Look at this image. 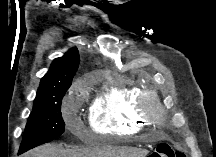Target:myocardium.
I'll list each match as a JSON object with an SVG mask.
<instances>
[{
	"label": "myocardium",
	"instance_id": "1",
	"mask_svg": "<svg viewBox=\"0 0 216 157\" xmlns=\"http://www.w3.org/2000/svg\"><path fill=\"white\" fill-rule=\"evenodd\" d=\"M137 110L142 117L150 121H156L157 117L162 114V107L157 92L146 91L141 94L137 103Z\"/></svg>",
	"mask_w": 216,
	"mask_h": 157
}]
</instances>
